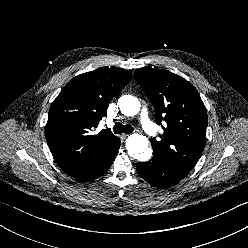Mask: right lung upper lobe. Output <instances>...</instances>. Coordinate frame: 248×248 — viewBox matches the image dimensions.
Segmentation results:
<instances>
[{
  "instance_id": "right-lung-upper-lobe-1",
  "label": "right lung upper lobe",
  "mask_w": 248,
  "mask_h": 248,
  "mask_svg": "<svg viewBox=\"0 0 248 248\" xmlns=\"http://www.w3.org/2000/svg\"><path fill=\"white\" fill-rule=\"evenodd\" d=\"M131 80L127 70L102 67L73 78L50 107L45 128L49 149L65 173L80 175L102 159L115 136L93 134L110 100Z\"/></svg>"
}]
</instances>
